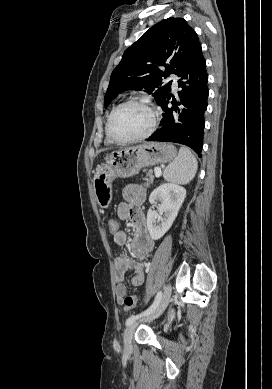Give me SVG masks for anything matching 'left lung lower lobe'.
<instances>
[{
  "instance_id": "obj_1",
  "label": "left lung lower lobe",
  "mask_w": 272,
  "mask_h": 389,
  "mask_svg": "<svg viewBox=\"0 0 272 389\" xmlns=\"http://www.w3.org/2000/svg\"><path fill=\"white\" fill-rule=\"evenodd\" d=\"M178 86L182 88L178 92L182 104L186 107L182 110L181 124L174 125L173 111L177 112L178 102H172L168 107L171 94L168 93L161 103L164 115L161 120L162 127L154 132L148 141L175 142L191 147L201 156L203 146L204 112L207 108L208 75L206 61L201 47L194 53L185 68L179 73ZM180 111H178L179 113Z\"/></svg>"
}]
</instances>
